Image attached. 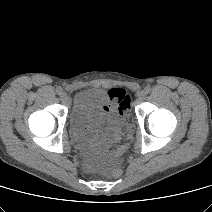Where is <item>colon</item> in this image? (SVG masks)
Instances as JSON below:
<instances>
[{
    "instance_id": "5ec220e1",
    "label": "colon",
    "mask_w": 212,
    "mask_h": 212,
    "mask_svg": "<svg viewBox=\"0 0 212 212\" xmlns=\"http://www.w3.org/2000/svg\"><path fill=\"white\" fill-rule=\"evenodd\" d=\"M119 93H120V95L118 97L117 107H118L119 112L121 114H124L130 108V97L126 94L125 91L124 92L120 91ZM123 150H124V148L122 147L120 149V152H122ZM121 174H122V170L117 165L111 167L110 170L108 171V176L113 179L119 178L121 176Z\"/></svg>"
}]
</instances>
